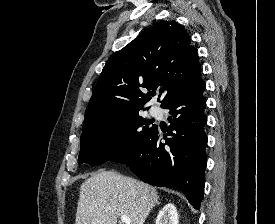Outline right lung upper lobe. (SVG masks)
<instances>
[{
    "label": "right lung upper lobe",
    "instance_id": "1",
    "mask_svg": "<svg viewBox=\"0 0 275 224\" xmlns=\"http://www.w3.org/2000/svg\"><path fill=\"white\" fill-rule=\"evenodd\" d=\"M199 74L197 51L187 32L175 21L161 20L108 59L85 111L83 129L142 109L157 88L165 93L162 107Z\"/></svg>",
    "mask_w": 275,
    "mask_h": 224
}]
</instances>
